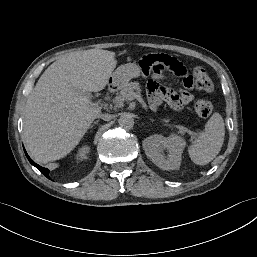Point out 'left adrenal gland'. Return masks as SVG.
Here are the masks:
<instances>
[{
	"instance_id": "1",
	"label": "left adrenal gland",
	"mask_w": 257,
	"mask_h": 257,
	"mask_svg": "<svg viewBox=\"0 0 257 257\" xmlns=\"http://www.w3.org/2000/svg\"><path fill=\"white\" fill-rule=\"evenodd\" d=\"M149 120L152 121V122L154 121L153 119H149Z\"/></svg>"
}]
</instances>
